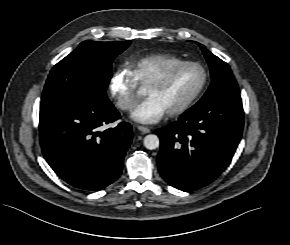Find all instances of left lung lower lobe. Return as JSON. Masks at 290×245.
I'll return each instance as SVG.
<instances>
[{
    "mask_svg": "<svg viewBox=\"0 0 290 245\" xmlns=\"http://www.w3.org/2000/svg\"><path fill=\"white\" fill-rule=\"evenodd\" d=\"M243 123L241 99L195 104L178 121L156 130L160 138V175L185 192L210 184L231 162Z\"/></svg>",
    "mask_w": 290,
    "mask_h": 245,
    "instance_id": "0a47b994",
    "label": "left lung lower lobe"
}]
</instances>
